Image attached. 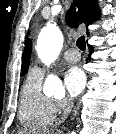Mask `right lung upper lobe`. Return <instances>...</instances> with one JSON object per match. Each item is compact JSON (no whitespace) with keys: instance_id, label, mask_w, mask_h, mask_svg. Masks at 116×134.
Returning a JSON list of instances; mask_svg holds the SVG:
<instances>
[{"instance_id":"right-lung-upper-lobe-1","label":"right lung upper lobe","mask_w":116,"mask_h":134,"mask_svg":"<svg viewBox=\"0 0 116 134\" xmlns=\"http://www.w3.org/2000/svg\"><path fill=\"white\" fill-rule=\"evenodd\" d=\"M100 18V10L97 0H74V4L67 12V24L72 28L78 27L79 24L84 23L88 26L90 23ZM31 40L25 41V49L22 59V73L25 74L28 70L29 59L31 55Z\"/></svg>"}]
</instances>
